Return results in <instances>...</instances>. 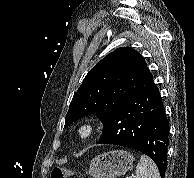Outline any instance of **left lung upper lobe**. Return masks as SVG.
<instances>
[{
    "instance_id": "left-lung-upper-lobe-1",
    "label": "left lung upper lobe",
    "mask_w": 194,
    "mask_h": 178,
    "mask_svg": "<svg viewBox=\"0 0 194 178\" xmlns=\"http://www.w3.org/2000/svg\"><path fill=\"white\" fill-rule=\"evenodd\" d=\"M153 83L143 56L131 47L118 48L88 72L73 96L64 127L90 114L104 122L120 103Z\"/></svg>"
}]
</instances>
